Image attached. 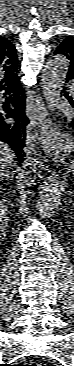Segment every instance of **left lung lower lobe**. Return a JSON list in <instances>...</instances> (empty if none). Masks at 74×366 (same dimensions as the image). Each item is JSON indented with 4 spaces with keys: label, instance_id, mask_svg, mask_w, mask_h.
Returning <instances> with one entry per match:
<instances>
[{
    "label": "left lung lower lobe",
    "instance_id": "0a47b994",
    "mask_svg": "<svg viewBox=\"0 0 74 366\" xmlns=\"http://www.w3.org/2000/svg\"><path fill=\"white\" fill-rule=\"evenodd\" d=\"M66 79H67V81H70V84L72 85V88H74V75L68 73ZM65 96L68 98V100L70 101L71 105L74 108V90H73L71 96H69L68 92H65ZM70 125L74 129V118L72 119V122H71Z\"/></svg>",
    "mask_w": 74,
    "mask_h": 366
}]
</instances>
